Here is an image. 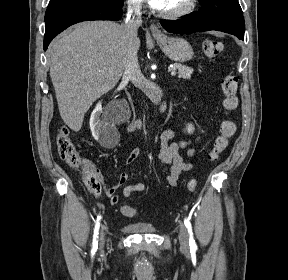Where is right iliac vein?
<instances>
[{"instance_id": "obj_1", "label": "right iliac vein", "mask_w": 288, "mask_h": 280, "mask_svg": "<svg viewBox=\"0 0 288 280\" xmlns=\"http://www.w3.org/2000/svg\"><path fill=\"white\" fill-rule=\"evenodd\" d=\"M104 243H105V240H104V232H101L100 240H99V245H100V248H101V249L104 247Z\"/></svg>"}]
</instances>
